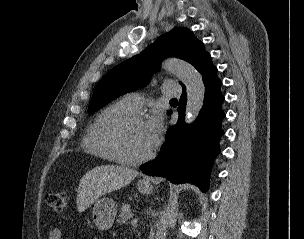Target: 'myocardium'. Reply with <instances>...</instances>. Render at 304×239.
Segmentation results:
<instances>
[{"instance_id":"myocardium-1","label":"myocardium","mask_w":304,"mask_h":239,"mask_svg":"<svg viewBox=\"0 0 304 239\" xmlns=\"http://www.w3.org/2000/svg\"><path fill=\"white\" fill-rule=\"evenodd\" d=\"M136 122H145L144 117L141 114L133 113L124 116L109 130L108 138L109 144L115 156L117 162L127 165H137L148 161L154 154L155 146L153 145L150 150L142 156L138 157H128L124 155L121 149V138L125 130L132 124Z\"/></svg>"}]
</instances>
